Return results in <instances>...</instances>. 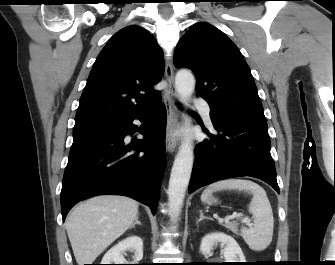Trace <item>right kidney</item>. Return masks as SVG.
I'll return each instance as SVG.
<instances>
[{
    "label": "right kidney",
    "mask_w": 335,
    "mask_h": 265,
    "mask_svg": "<svg viewBox=\"0 0 335 265\" xmlns=\"http://www.w3.org/2000/svg\"><path fill=\"white\" fill-rule=\"evenodd\" d=\"M125 251L134 253V262L130 264H138L143 258V241L138 236H130L118 242L104 255L101 264H128L123 254Z\"/></svg>",
    "instance_id": "obj_1"
}]
</instances>
